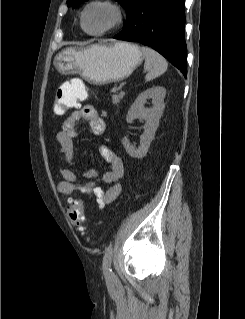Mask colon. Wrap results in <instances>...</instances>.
<instances>
[{"mask_svg": "<svg viewBox=\"0 0 245 319\" xmlns=\"http://www.w3.org/2000/svg\"><path fill=\"white\" fill-rule=\"evenodd\" d=\"M85 96L86 90L84 84L81 85L75 92L65 91L59 87L56 96L55 112L59 115H62L69 109L78 107ZM67 209L72 224L81 229L85 220L84 208L82 203L77 199H72L70 200Z\"/></svg>", "mask_w": 245, "mask_h": 319, "instance_id": "5ec220e1", "label": "colon"}]
</instances>
